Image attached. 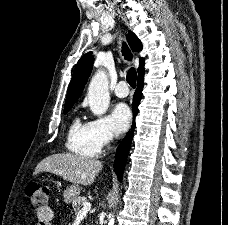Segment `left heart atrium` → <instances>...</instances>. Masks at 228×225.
<instances>
[{"label":"left heart atrium","mask_w":228,"mask_h":225,"mask_svg":"<svg viewBox=\"0 0 228 225\" xmlns=\"http://www.w3.org/2000/svg\"><path fill=\"white\" fill-rule=\"evenodd\" d=\"M131 112L126 104L120 103L114 107L111 114V121L117 133L127 130L131 122Z\"/></svg>","instance_id":"39dd6f15"}]
</instances>
